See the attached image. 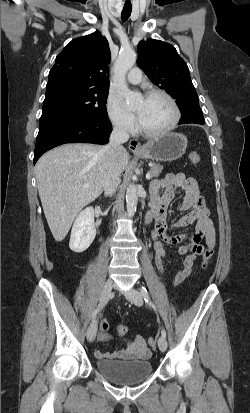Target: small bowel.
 Segmentation results:
<instances>
[{
	"label": "small bowel",
	"mask_w": 250,
	"mask_h": 413,
	"mask_svg": "<svg viewBox=\"0 0 250 413\" xmlns=\"http://www.w3.org/2000/svg\"><path fill=\"white\" fill-rule=\"evenodd\" d=\"M177 190L184 192L180 204L182 211H189L176 221L168 222L167 209ZM152 208L157 213L156 222L152 231V241L155 250V263L160 272L164 271V260L169 259L167 246H178L177 252L184 256L181 266L175 274L173 282H183L192 272L198 256L202 255L205 247L201 244L204 238L206 247L214 248L215 229L205 206V200L200 195L197 181L183 173L167 174L162 179L154 180L151 184ZM192 226V230L179 234H169V228H183ZM100 341L108 340L105 332L100 330ZM151 355L150 348L146 345L141 335L133 338L124 349L112 352L97 350V358L111 359H147Z\"/></svg>",
	"instance_id": "obj_1"
}]
</instances>
